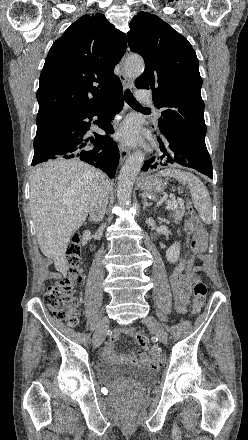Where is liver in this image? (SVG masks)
Listing matches in <instances>:
<instances>
[{
	"mask_svg": "<svg viewBox=\"0 0 248 440\" xmlns=\"http://www.w3.org/2000/svg\"><path fill=\"white\" fill-rule=\"evenodd\" d=\"M101 175L106 177L75 159L50 160L31 174L30 209L38 245L63 274L70 238L86 220L94 183Z\"/></svg>",
	"mask_w": 248,
	"mask_h": 440,
	"instance_id": "6515ba94",
	"label": "liver"
}]
</instances>
